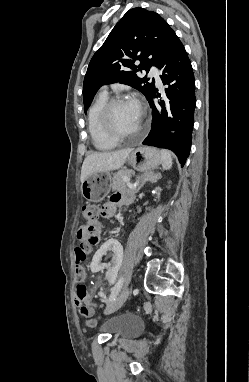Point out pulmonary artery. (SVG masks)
Returning <instances> with one entry per match:
<instances>
[{
  "instance_id": "1",
  "label": "pulmonary artery",
  "mask_w": 249,
  "mask_h": 382,
  "mask_svg": "<svg viewBox=\"0 0 249 382\" xmlns=\"http://www.w3.org/2000/svg\"><path fill=\"white\" fill-rule=\"evenodd\" d=\"M150 76L153 77L155 80H156V83L161 86L162 85V81H161V78H160V74L159 72L155 69V68H152L150 70Z\"/></svg>"
}]
</instances>
